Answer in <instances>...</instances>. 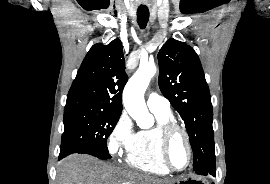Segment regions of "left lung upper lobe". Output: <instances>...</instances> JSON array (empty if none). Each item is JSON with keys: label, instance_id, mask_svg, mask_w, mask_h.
Wrapping results in <instances>:
<instances>
[{"label": "left lung upper lobe", "instance_id": "5c2ea615", "mask_svg": "<svg viewBox=\"0 0 270 184\" xmlns=\"http://www.w3.org/2000/svg\"><path fill=\"white\" fill-rule=\"evenodd\" d=\"M159 87L185 123L197 174L214 171L213 109L198 55L186 43L169 39L158 53Z\"/></svg>", "mask_w": 270, "mask_h": 184}]
</instances>
